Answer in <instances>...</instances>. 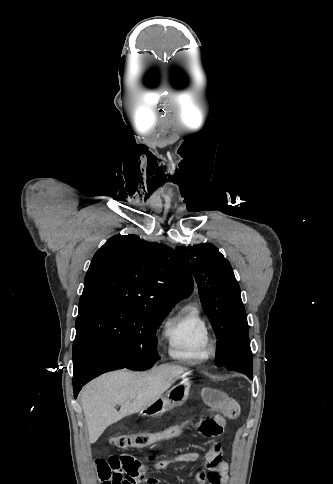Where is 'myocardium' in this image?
I'll list each match as a JSON object with an SVG mask.
<instances>
[{
    "label": "myocardium",
    "instance_id": "myocardium-1",
    "mask_svg": "<svg viewBox=\"0 0 333 484\" xmlns=\"http://www.w3.org/2000/svg\"><path fill=\"white\" fill-rule=\"evenodd\" d=\"M205 349L208 355H214L217 350V340L212 335L208 334L205 340Z\"/></svg>",
    "mask_w": 333,
    "mask_h": 484
}]
</instances>
